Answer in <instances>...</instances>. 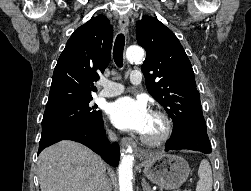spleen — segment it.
I'll return each mask as SVG.
<instances>
[{"mask_svg": "<svg viewBox=\"0 0 251 191\" xmlns=\"http://www.w3.org/2000/svg\"><path fill=\"white\" fill-rule=\"evenodd\" d=\"M198 183L196 191H212L213 175L208 159H202L198 169Z\"/></svg>", "mask_w": 251, "mask_h": 191, "instance_id": "obj_1", "label": "spleen"}]
</instances>
